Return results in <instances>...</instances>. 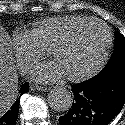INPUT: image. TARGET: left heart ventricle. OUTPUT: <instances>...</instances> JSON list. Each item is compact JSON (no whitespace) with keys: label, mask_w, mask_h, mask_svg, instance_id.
<instances>
[{"label":"left heart ventricle","mask_w":125,"mask_h":125,"mask_svg":"<svg viewBox=\"0 0 125 125\" xmlns=\"http://www.w3.org/2000/svg\"><path fill=\"white\" fill-rule=\"evenodd\" d=\"M105 43L106 31L102 26H85L57 50L55 60L62 66L66 75L83 73L99 60Z\"/></svg>","instance_id":"1"}]
</instances>
